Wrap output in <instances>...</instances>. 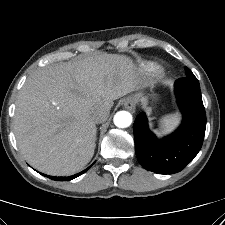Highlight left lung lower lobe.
Segmentation results:
<instances>
[{"instance_id":"0a47b994","label":"left lung lower lobe","mask_w":225,"mask_h":225,"mask_svg":"<svg viewBox=\"0 0 225 225\" xmlns=\"http://www.w3.org/2000/svg\"><path fill=\"white\" fill-rule=\"evenodd\" d=\"M175 93L183 113L179 129L163 140L148 130L145 113L134 122L135 152L138 162L148 171L174 174L181 171L200 151L206 129V114L197 79L175 82Z\"/></svg>"}]
</instances>
